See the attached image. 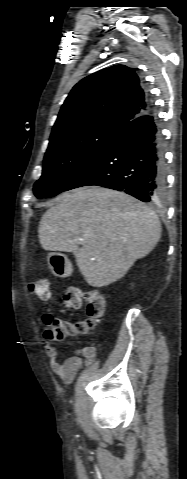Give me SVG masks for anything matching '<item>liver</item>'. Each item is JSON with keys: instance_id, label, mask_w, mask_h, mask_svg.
<instances>
[{"instance_id": "liver-1", "label": "liver", "mask_w": 187, "mask_h": 479, "mask_svg": "<svg viewBox=\"0 0 187 479\" xmlns=\"http://www.w3.org/2000/svg\"><path fill=\"white\" fill-rule=\"evenodd\" d=\"M38 233L43 249L72 252L86 282L103 287L155 248L161 224L156 213L134 197L89 186L56 197Z\"/></svg>"}]
</instances>
